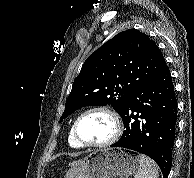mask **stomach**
Returning <instances> with one entry per match:
<instances>
[{
	"label": "stomach",
	"instance_id": "0dacf381",
	"mask_svg": "<svg viewBox=\"0 0 194 178\" xmlns=\"http://www.w3.org/2000/svg\"><path fill=\"white\" fill-rule=\"evenodd\" d=\"M139 165V156L131 150L101 149L73 165L65 178H129Z\"/></svg>",
	"mask_w": 194,
	"mask_h": 178
}]
</instances>
